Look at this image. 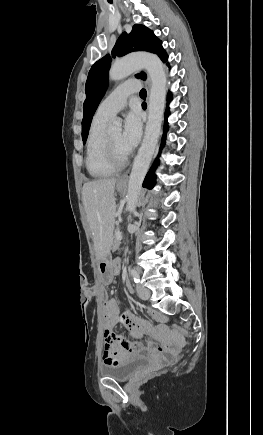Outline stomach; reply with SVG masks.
Listing matches in <instances>:
<instances>
[{"mask_svg":"<svg viewBox=\"0 0 263 435\" xmlns=\"http://www.w3.org/2000/svg\"><path fill=\"white\" fill-rule=\"evenodd\" d=\"M124 184L119 182L117 188L119 191H122ZM111 261L109 258V254H105L98 261V270L101 274L100 279L101 282H116L117 276L116 273H113V270L110 269Z\"/></svg>","mask_w":263,"mask_h":435,"instance_id":"stomach-1","label":"stomach"}]
</instances>
